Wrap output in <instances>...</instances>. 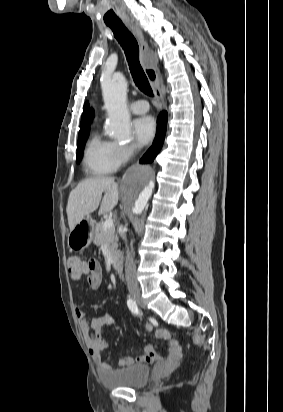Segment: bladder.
<instances>
[{"label":"bladder","instance_id":"1","mask_svg":"<svg viewBox=\"0 0 283 412\" xmlns=\"http://www.w3.org/2000/svg\"><path fill=\"white\" fill-rule=\"evenodd\" d=\"M150 368L146 365H131L111 369L101 375L102 382L109 388H138L147 384Z\"/></svg>","mask_w":283,"mask_h":412}]
</instances>
